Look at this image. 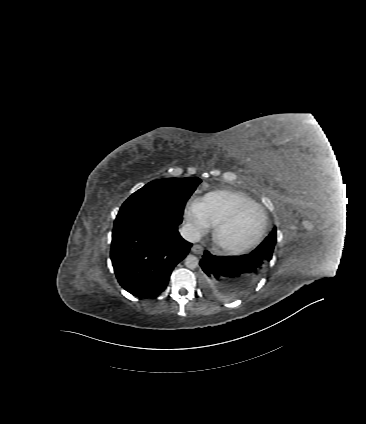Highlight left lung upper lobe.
Instances as JSON below:
<instances>
[{
  "label": "left lung upper lobe",
  "mask_w": 366,
  "mask_h": 424,
  "mask_svg": "<svg viewBox=\"0 0 366 424\" xmlns=\"http://www.w3.org/2000/svg\"><path fill=\"white\" fill-rule=\"evenodd\" d=\"M275 244H276V227L269 234V236H267L266 239L255 250L252 251V253L263 257L267 265L272 258ZM263 270L259 274H256L254 276H249L248 278L249 281L250 282L257 281L261 277Z\"/></svg>",
  "instance_id": "obj_1"
}]
</instances>
